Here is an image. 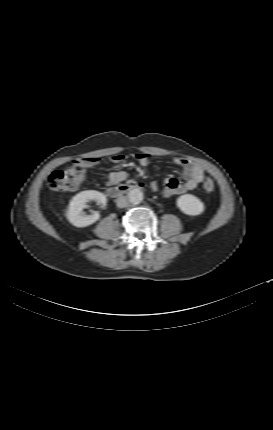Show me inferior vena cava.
Here are the masks:
<instances>
[{
	"instance_id": "1",
	"label": "inferior vena cava",
	"mask_w": 273,
	"mask_h": 430,
	"mask_svg": "<svg viewBox=\"0 0 273 430\" xmlns=\"http://www.w3.org/2000/svg\"><path fill=\"white\" fill-rule=\"evenodd\" d=\"M117 206L119 208H125L128 206V200L125 196H120L117 198Z\"/></svg>"
}]
</instances>
